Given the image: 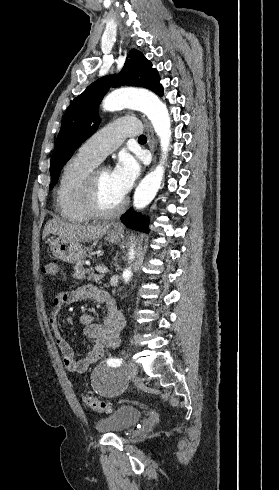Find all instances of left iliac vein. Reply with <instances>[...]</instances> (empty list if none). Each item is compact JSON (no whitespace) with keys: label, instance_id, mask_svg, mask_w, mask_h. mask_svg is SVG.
I'll return each mask as SVG.
<instances>
[{"label":"left iliac vein","instance_id":"1","mask_svg":"<svg viewBox=\"0 0 279 490\" xmlns=\"http://www.w3.org/2000/svg\"><path fill=\"white\" fill-rule=\"evenodd\" d=\"M125 369L128 371L131 377L136 376L137 374V364L134 359H129L128 363L125 365Z\"/></svg>","mask_w":279,"mask_h":490}]
</instances>
